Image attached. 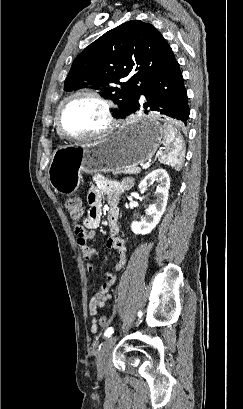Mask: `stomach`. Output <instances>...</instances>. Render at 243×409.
I'll return each instance as SVG.
<instances>
[{"instance_id":"1","label":"stomach","mask_w":243,"mask_h":409,"mask_svg":"<svg viewBox=\"0 0 243 409\" xmlns=\"http://www.w3.org/2000/svg\"><path fill=\"white\" fill-rule=\"evenodd\" d=\"M163 137L155 117H129L102 139L57 148L48 168L49 182L57 193L75 192L83 173L116 172L151 159Z\"/></svg>"}]
</instances>
